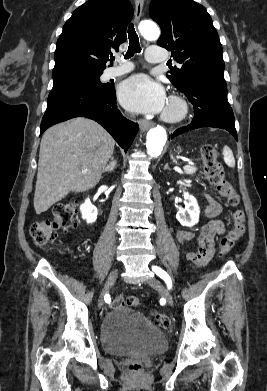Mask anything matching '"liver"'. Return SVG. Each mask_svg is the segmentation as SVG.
Returning <instances> with one entry per match:
<instances>
[{
    "label": "liver",
    "instance_id": "liver-1",
    "mask_svg": "<svg viewBox=\"0 0 267 391\" xmlns=\"http://www.w3.org/2000/svg\"><path fill=\"white\" fill-rule=\"evenodd\" d=\"M114 147L110 134L87 118H74L49 128L40 144L34 194L36 213L47 211L71 191L94 188Z\"/></svg>",
    "mask_w": 267,
    "mask_h": 391
}]
</instances>
